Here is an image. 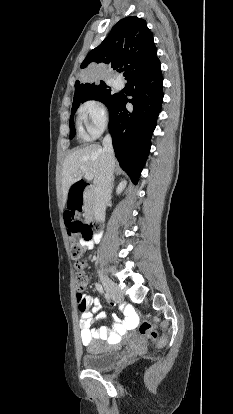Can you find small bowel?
<instances>
[{"label":"small bowel","instance_id":"small-bowel-1","mask_svg":"<svg viewBox=\"0 0 233 414\" xmlns=\"http://www.w3.org/2000/svg\"><path fill=\"white\" fill-rule=\"evenodd\" d=\"M99 239V237L97 238ZM80 244L87 249L94 247L93 240H80ZM112 308L118 307L117 301L111 302ZM121 307L125 309V320L122 322L117 316L113 317V326H101L98 329H93V324L96 318L104 319L106 316L101 311V303L98 299L85 295V299L81 300L78 306L80 312V337L83 345H89L94 339H107L110 343H118L128 330L135 329L139 322V317L136 312L128 307L127 301L121 302ZM97 315V317H95Z\"/></svg>","mask_w":233,"mask_h":414}]
</instances>
